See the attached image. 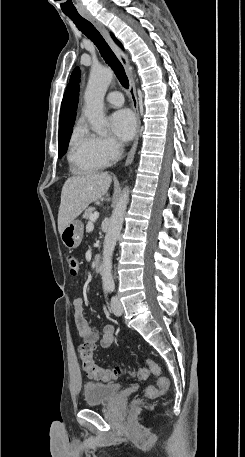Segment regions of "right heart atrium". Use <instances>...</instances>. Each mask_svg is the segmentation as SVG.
I'll return each instance as SVG.
<instances>
[{"instance_id":"d8ad5b80","label":"right heart atrium","mask_w":245,"mask_h":457,"mask_svg":"<svg viewBox=\"0 0 245 457\" xmlns=\"http://www.w3.org/2000/svg\"><path fill=\"white\" fill-rule=\"evenodd\" d=\"M86 140L92 151L106 164L115 161L120 153V144L112 137L86 132Z\"/></svg>"}]
</instances>
